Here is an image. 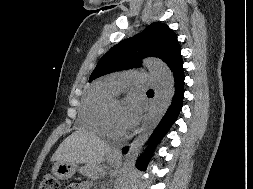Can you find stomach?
I'll return each instance as SVG.
<instances>
[{
    "mask_svg": "<svg viewBox=\"0 0 253 189\" xmlns=\"http://www.w3.org/2000/svg\"><path fill=\"white\" fill-rule=\"evenodd\" d=\"M115 157L108 156V161L113 163ZM77 170V164L72 162H55L52 167V172L60 180H67L71 178Z\"/></svg>",
    "mask_w": 253,
    "mask_h": 189,
    "instance_id": "stomach-1",
    "label": "stomach"
}]
</instances>
